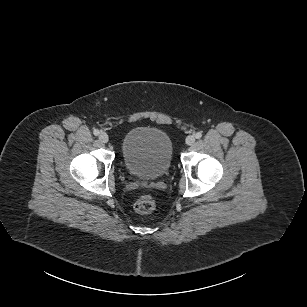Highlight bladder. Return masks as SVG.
Here are the masks:
<instances>
[{
    "label": "bladder",
    "instance_id": "31cf9c89",
    "mask_svg": "<svg viewBox=\"0 0 307 307\" xmlns=\"http://www.w3.org/2000/svg\"><path fill=\"white\" fill-rule=\"evenodd\" d=\"M121 152L129 174L139 179L155 180L168 171L173 146L165 131L154 127H136L123 138Z\"/></svg>",
    "mask_w": 307,
    "mask_h": 307
}]
</instances>
